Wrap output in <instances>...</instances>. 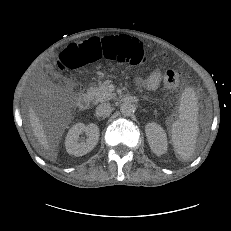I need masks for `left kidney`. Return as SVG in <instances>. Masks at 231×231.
Masks as SVG:
<instances>
[{
  "instance_id": "1",
  "label": "left kidney",
  "mask_w": 231,
  "mask_h": 231,
  "mask_svg": "<svg viewBox=\"0 0 231 231\" xmlns=\"http://www.w3.org/2000/svg\"><path fill=\"white\" fill-rule=\"evenodd\" d=\"M147 141L151 150L158 156L167 151V136L163 128L157 123H148L145 126Z\"/></svg>"
}]
</instances>
